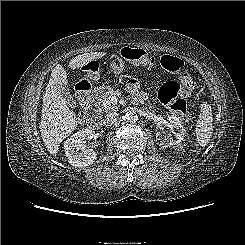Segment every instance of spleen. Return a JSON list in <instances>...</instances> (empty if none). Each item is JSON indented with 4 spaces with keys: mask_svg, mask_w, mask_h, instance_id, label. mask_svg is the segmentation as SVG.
<instances>
[{
    "mask_svg": "<svg viewBox=\"0 0 245 245\" xmlns=\"http://www.w3.org/2000/svg\"><path fill=\"white\" fill-rule=\"evenodd\" d=\"M213 118L210 104L203 102L200 107L199 119L196 125V139L200 146H206L212 136Z\"/></svg>",
    "mask_w": 245,
    "mask_h": 245,
    "instance_id": "obj_1",
    "label": "spleen"
}]
</instances>
